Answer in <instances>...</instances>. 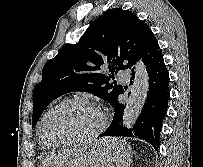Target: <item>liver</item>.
<instances>
[{
  "mask_svg": "<svg viewBox=\"0 0 203 167\" xmlns=\"http://www.w3.org/2000/svg\"><path fill=\"white\" fill-rule=\"evenodd\" d=\"M100 142L106 144L112 142L115 148H120L126 144L124 141H118L117 139H102ZM84 156L83 152L72 150L59 152L57 154L53 153L42 161L41 167H77L82 162Z\"/></svg>",
  "mask_w": 203,
  "mask_h": 167,
  "instance_id": "1",
  "label": "liver"
}]
</instances>
